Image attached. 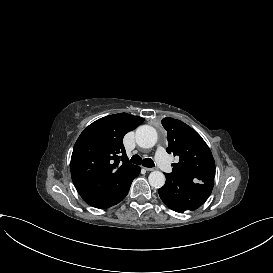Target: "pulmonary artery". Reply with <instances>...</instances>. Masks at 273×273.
<instances>
[{
  "mask_svg": "<svg viewBox=\"0 0 273 273\" xmlns=\"http://www.w3.org/2000/svg\"><path fill=\"white\" fill-rule=\"evenodd\" d=\"M156 162L160 169L163 170L164 173L169 174L172 172L173 167L170 162L167 160V153L165 150L160 149L156 153Z\"/></svg>",
  "mask_w": 273,
  "mask_h": 273,
  "instance_id": "e3ab8cb5",
  "label": "pulmonary artery"
}]
</instances>
